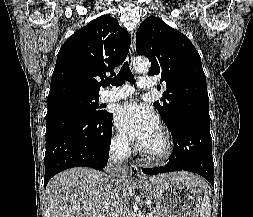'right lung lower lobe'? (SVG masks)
Listing matches in <instances>:
<instances>
[{"instance_id": "98d812e1", "label": "right lung lower lobe", "mask_w": 253, "mask_h": 217, "mask_svg": "<svg viewBox=\"0 0 253 217\" xmlns=\"http://www.w3.org/2000/svg\"><path fill=\"white\" fill-rule=\"evenodd\" d=\"M113 114L73 113L46 120L44 186L58 172L76 166L102 170L107 165Z\"/></svg>"}]
</instances>
